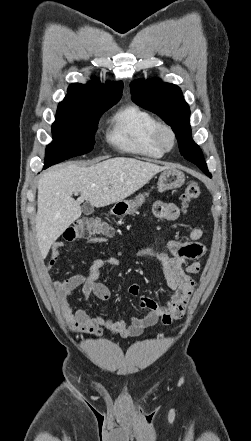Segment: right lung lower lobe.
Instances as JSON below:
<instances>
[{"label":"right lung lower lobe","instance_id":"right-lung-lower-lobe-1","mask_svg":"<svg viewBox=\"0 0 251 441\" xmlns=\"http://www.w3.org/2000/svg\"><path fill=\"white\" fill-rule=\"evenodd\" d=\"M44 168H47V166H46V165H44Z\"/></svg>","mask_w":251,"mask_h":441}]
</instances>
